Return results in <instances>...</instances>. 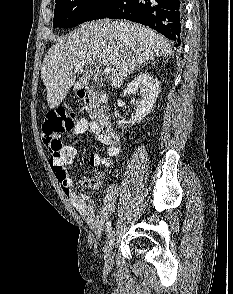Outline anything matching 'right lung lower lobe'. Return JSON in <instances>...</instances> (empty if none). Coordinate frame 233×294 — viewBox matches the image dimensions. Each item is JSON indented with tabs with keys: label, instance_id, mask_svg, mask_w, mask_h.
Returning <instances> with one entry per match:
<instances>
[{
	"label": "right lung lower lobe",
	"instance_id": "1",
	"mask_svg": "<svg viewBox=\"0 0 233 294\" xmlns=\"http://www.w3.org/2000/svg\"><path fill=\"white\" fill-rule=\"evenodd\" d=\"M106 17L147 25L181 44L182 0H119Z\"/></svg>",
	"mask_w": 233,
	"mask_h": 294
}]
</instances>
